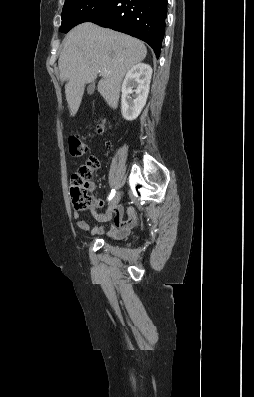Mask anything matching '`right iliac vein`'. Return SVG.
I'll use <instances>...</instances> for the list:
<instances>
[{"instance_id":"obj_1","label":"right iliac vein","mask_w":254,"mask_h":397,"mask_svg":"<svg viewBox=\"0 0 254 397\" xmlns=\"http://www.w3.org/2000/svg\"><path fill=\"white\" fill-rule=\"evenodd\" d=\"M120 198H121V194L120 192H117L109 204V209H113L119 203Z\"/></svg>"}]
</instances>
